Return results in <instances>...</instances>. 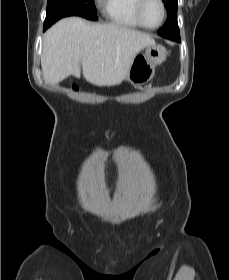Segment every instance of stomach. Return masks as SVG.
I'll return each mask as SVG.
<instances>
[{"mask_svg":"<svg viewBox=\"0 0 229 280\" xmlns=\"http://www.w3.org/2000/svg\"><path fill=\"white\" fill-rule=\"evenodd\" d=\"M167 51L161 45H149L145 47L142 55L135 56L126 78L130 83H144L155 75V68L166 59Z\"/></svg>","mask_w":229,"mask_h":280,"instance_id":"obj_1","label":"stomach"}]
</instances>
